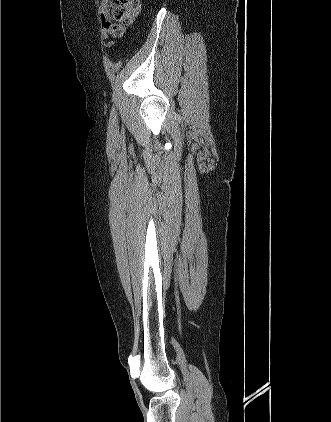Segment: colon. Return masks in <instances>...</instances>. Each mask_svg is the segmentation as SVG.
Instances as JSON below:
<instances>
[{
	"mask_svg": "<svg viewBox=\"0 0 331 422\" xmlns=\"http://www.w3.org/2000/svg\"><path fill=\"white\" fill-rule=\"evenodd\" d=\"M111 18L121 25H130L141 8L140 0H107Z\"/></svg>",
	"mask_w": 331,
	"mask_h": 422,
	"instance_id": "1",
	"label": "colon"
}]
</instances>
